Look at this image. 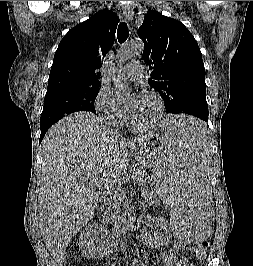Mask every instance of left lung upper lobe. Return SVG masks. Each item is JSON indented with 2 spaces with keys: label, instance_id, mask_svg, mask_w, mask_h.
Wrapping results in <instances>:
<instances>
[{
  "label": "left lung upper lobe",
  "instance_id": "1",
  "mask_svg": "<svg viewBox=\"0 0 253 266\" xmlns=\"http://www.w3.org/2000/svg\"><path fill=\"white\" fill-rule=\"evenodd\" d=\"M138 34L143 60L153 69L148 83L161 94L167 113L207 122L205 68L194 36L180 21L157 11L145 14Z\"/></svg>",
  "mask_w": 253,
  "mask_h": 266
}]
</instances>
